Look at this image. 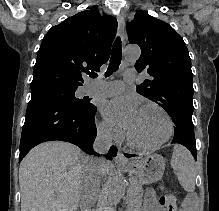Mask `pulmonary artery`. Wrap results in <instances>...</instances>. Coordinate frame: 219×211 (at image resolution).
<instances>
[{"label":"pulmonary artery","mask_w":219,"mask_h":211,"mask_svg":"<svg viewBox=\"0 0 219 211\" xmlns=\"http://www.w3.org/2000/svg\"><path fill=\"white\" fill-rule=\"evenodd\" d=\"M133 74H136V69H125L122 80H94L81 90L82 95L112 96L118 94L125 89L126 83H132L134 80H136L137 77Z\"/></svg>","instance_id":"obj_1"}]
</instances>
